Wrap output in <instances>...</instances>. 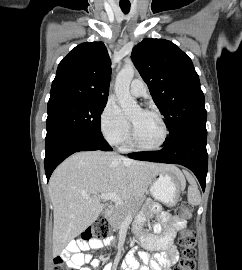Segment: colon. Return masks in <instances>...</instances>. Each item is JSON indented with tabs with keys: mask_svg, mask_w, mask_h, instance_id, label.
Returning <instances> with one entry per match:
<instances>
[{
	"mask_svg": "<svg viewBox=\"0 0 242 270\" xmlns=\"http://www.w3.org/2000/svg\"><path fill=\"white\" fill-rule=\"evenodd\" d=\"M191 206L182 202L175 210L176 216L182 219L191 217ZM111 228L108 221L104 218L98 219L81 236L82 240L105 239L110 236ZM179 243L182 250V260L175 270H195L196 269V234L188 230L180 235ZM55 270H67L64 259L57 256L54 259Z\"/></svg>",
	"mask_w": 242,
	"mask_h": 270,
	"instance_id": "obj_1",
	"label": "colon"
}]
</instances>
